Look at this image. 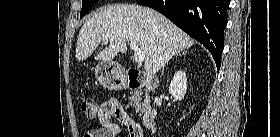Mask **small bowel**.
Returning <instances> with one entry per match:
<instances>
[{
    "instance_id": "c3829d8e",
    "label": "small bowel",
    "mask_w": 280,
    "mask_h": 137,
    "mask_svg": "<svg viewBox=\"0 0 280 137\" xmlns=\"http://www.w3.org/2000/svg\"><path fill=\"white\" fill-rule=\"evenodd\" d=\"M112 118H115L120 124L128 126L129 137H132L130 135L133 128L141 131L139 126L124 111L121 104L116 99L110 98L99 108V126L87 131L84 137H118L120 127L112 121Z\"/></svg>"
}]
</instances>
